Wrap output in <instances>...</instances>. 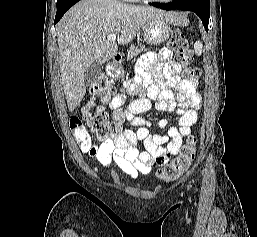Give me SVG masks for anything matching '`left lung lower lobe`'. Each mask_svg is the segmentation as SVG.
Segmentation results:
<instances>
[{
  "label": "left lung lower lobe",
  "mask_w": 257,
  "mask_h": 237,
  "mask_svg": "<svg viewBox=\"0 0 257 237\" xmlns=\"http://www.w3.org/2000/svg\"><path fill=\"white\" fill-rule=\"evenodd\" d=\"M210 0H189L186 2H181L179 0H175L172 3H150V5L155 6L157 8H161L164 10H185V11H193L195 12L208 31L209 17H210Z\"/></svg>",
  "instance_id": "obj_1"
}]
</instances>
